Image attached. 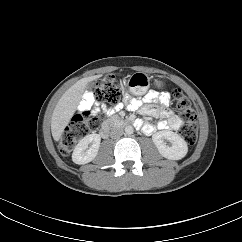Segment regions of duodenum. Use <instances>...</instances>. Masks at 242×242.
<instances>
[{"label":"duodenum","instance_id":"duodenum-1","mask_svg":"<svg viewBox=\"0 0 242 242\" xmlns=\"http://www.w3.org/2000/svg\"><path fill=\"white\" fill-rule=\"evenodd\" d=\"M133 121L128 120V119H118V118H113L110 120V122L106 123L105 126L103 127L101 131V136L102 137H107L109 135L111 127H119V126H133Z\"/></svg>","mask_w":242,"mask_h":242}]
</instances>
